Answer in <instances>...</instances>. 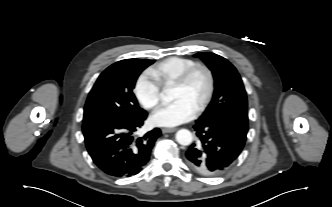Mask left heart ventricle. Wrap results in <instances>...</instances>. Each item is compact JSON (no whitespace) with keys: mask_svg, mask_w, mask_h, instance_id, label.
Masks as SVG:
<instances>
[{"mask_svg":"<svg viewBox=\"0 0 332 207\" xmlns=\"http://www.w3.org/2000/svg\"><path fill=\"white\" fill-rule=\"evenodd\" d=\"M207 89V78L203 71H198L185 87H172V99H182L195 109Z\"/></svg>","mask_w":332,"mask_h":207,"instance_id":"left-heart-ventricle-1","label":"left heart ventricle"}]
</instances>
